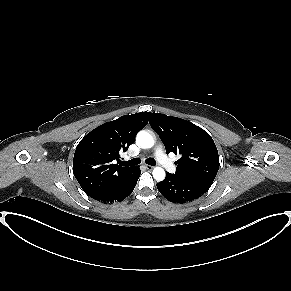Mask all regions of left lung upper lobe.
<instances>
[{
  "label": "left lung upper lobe",
  "instance_id": "left-lung-upper-lobe-1",
  "mask_svg": "<svg viewBox=\"0 0 291 291\" xmlns=\"http://www.w3.org/2000/svg\"><path fill=\"white\" fill-rule=\"evenodd\" d=\"M150 124L160 136L166 152L180 154L175 175L212 184L219 169V156L211 136L181 118L150 112Z\"/></svg>",
  "mask_w": 291,
  "mask_h": 291
}]
</instances>
